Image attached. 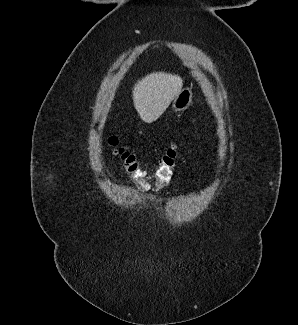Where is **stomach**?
<instances>
[{
    "label": "stomach",
    "instance_id": "0dacf381",
    "mask_svg": "<svg viewBox=\"0 0 298 325\" xmlns=\"http://www.w3.org/2000/svg\"><path fill=\"white\" fill-rule=\"evenodd\" d=\"M192 102L193 90L190 88V86H185V88H182L179 94H177L176 98H173L171 106L174 108V110H186V108H189Z\"/></svg>",
    "mask_w": 298,
    "mask_h": 325
}]
</instances>
